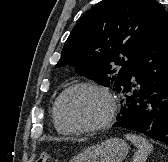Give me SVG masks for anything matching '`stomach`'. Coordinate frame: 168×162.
Masks as SVG:
<instances>
[{
	"instance_id": "stomach-1",
	"label": "stomach",
	"mask_w": 168,
	"mask_h": 162,
	"mask_svg": "<svg viewBox=\"0 0 168 162\" xmlns=\"http://www.w3.org/2000/svg\"><path fill=\"white\" fill-rule=\"evenodd\" d=\"M127 143L120 138H109L100 145L77 155L71 162H121L128 153Z\"/></svg>"
}]
</instances>
